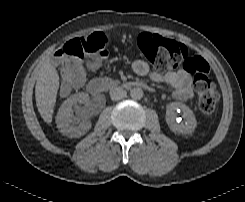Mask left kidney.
I'll return each instance as SVG.
<instances>
[{
  "mask_svg": "<svg viewBox=\"0 0 245 202\" xmlns=\"http://www.w3.org/2000/svg\"><path fill=\"white\" fill-rule=\"evenodd\" d=\"M177 112L182 113L185 123L178 122ZM165 119L170 130L178 134H191L197 126L193 111L180 102H172L166 106Z\"/></svg>",
  "mask_w": 245,
  "mask_h": 202,
  "instance_id": "obj_1",
  "label": "left kidney"
}]
</instances>
